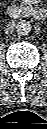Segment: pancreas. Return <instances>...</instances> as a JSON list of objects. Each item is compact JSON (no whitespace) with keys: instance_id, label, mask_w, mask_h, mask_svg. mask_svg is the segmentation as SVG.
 <instances>
[{"instance_id":"obj_1","label":"pancreas","mask_w":47,"mask_h":129,"mask_svg":"<svg viewBox=\"0 0 47 129\" xmlns=\"http://www.w3.org/2000/svg\"><path fill=\"white\" fill-rule=\"evenodd\" d=\"M31 0H23V4H26V3H28V2H30Z\"/></svg>"}]
</instances>
